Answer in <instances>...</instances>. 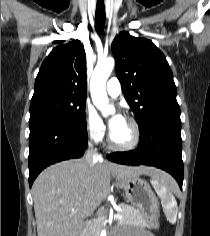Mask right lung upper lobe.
<instances>
[{"instance_id":"1","label":"right lung upper lobe","mask_w":210,"mask_h":236,"mask_svg":"<svg viewBox=\"0 0 210 236\" xmlns=\"http://www.w3.org/2000/svg\"><path fill=\"white\" fill-rule=\"evenodd\" d=\"M50 95L86 97V55L79 40L54 48L42 63L31 101Z\"/></svg>"}]
</instances>
